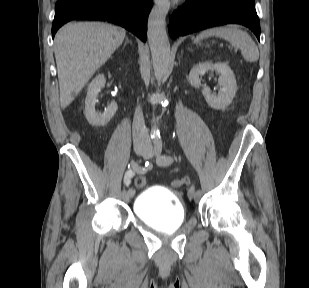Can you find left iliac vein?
Returning a JSON list of instances; mask_svg holds the SVG:
<instances>
[{"label":"left iliac vein","mask_w":309,"mask_h":288,"mask_svg":"<svg viewBox=\"0 0 309 288\" xmlns=\"http://www.w3.org/2000/svg\"><path fill=\"white\" fill-rule=\"evenodd\" d=\"M148 154L144 158H152L153 152L151 150H147ZM189 199L199 200L201 195L193 194V190L188 192Z\"/></svg>","instance_id":"left-iliac-vein-1"}]
</instances>
